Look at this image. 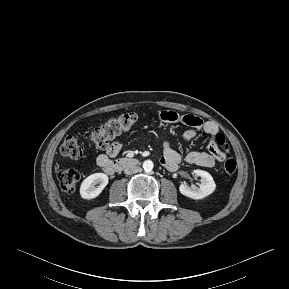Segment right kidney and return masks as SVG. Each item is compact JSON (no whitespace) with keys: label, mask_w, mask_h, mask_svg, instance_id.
Instances as JSON below:
<instances>
[{"label":"right kidney","mask_w":289,"mask_h":289,"mask_svg":"<svg viewBox=\"0 0 289 289\" xmlns=\"http://www.w3.org/2000/svg\"><path fill=\"white\" fill-rule=\"evenodd\" d=\"M108 184V176L104 173H94L83 180L80 195L83 199L96 198ZM98 185V186H96Z\"/></svg>","instance_id":"obj_1"}]
</instances>
